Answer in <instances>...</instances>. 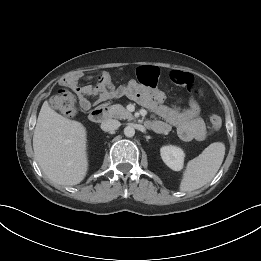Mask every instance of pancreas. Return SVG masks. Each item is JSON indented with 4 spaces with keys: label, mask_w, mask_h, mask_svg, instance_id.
Wrapping results in <instances>:
<instances>
[{
    "label": "pancreas",
    "mask_w": 261,
    "mask_h": 261,
    "mask_svg": "<svg viewBox=\"0 0 261 261\" xmlns=\"http://www.w3.org/2000/svg\"><path fill=\"white\" fill-rule=\"evenodd\" d=\"M109 114L110 117H114L118 119H128V120L133 119V115L120 104H115L110 106Z\"/></svg>",
    "instance_id": "pancreas-1"
}]
</instances>
